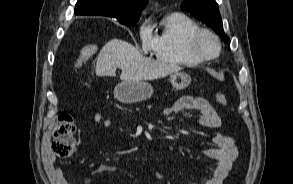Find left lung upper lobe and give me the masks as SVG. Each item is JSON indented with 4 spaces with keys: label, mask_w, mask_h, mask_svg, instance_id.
Wrapping results in <instances>:
<instances>
[{
    "label": "left lung upper lobe",
    "mask_w": 293,
    "mask_h": 184,
    "mask_svg": "<svg viewBox=\"0 0 293 184\" xmlns=\"http://www.w3.org/2000/svg\"><path fill=\"white\" fill-rule=\"evenodd\" d=\"M181 9L190 12L213 28L225 43H230L229 37L224 33L218 4L215 0H184Z\"/></svg>",
    "instance_id": "1"
}]
</instances>
